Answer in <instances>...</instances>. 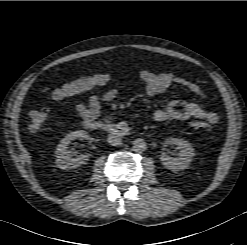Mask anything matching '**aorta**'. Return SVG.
I'll list each match as a JSON object with an SVG mask.
<instances>
[{"instance_id":"obj_1","label":"aorta","mask_w":247,"mask_h":245,"mask_svg":"<svg viewBox=\"0 0 247 245\" xmlns=\"http://www.w3.org/2000/svg\"><path fill=\"white\" fill-rule=\"evenodd\" d=\"M132 144L133 151L138 153L144 152L147 148V144L143 138L135 139Z\"/></svg>"}]
</instances>
